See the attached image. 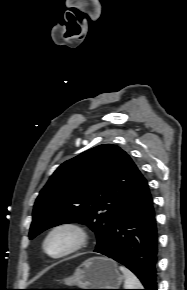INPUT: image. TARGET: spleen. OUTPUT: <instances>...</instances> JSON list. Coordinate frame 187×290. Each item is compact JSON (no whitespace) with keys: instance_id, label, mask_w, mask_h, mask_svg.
Listing matches in <instances>:
<instances>
[{"instance_id":"1","label":"spleen","mask_w":187,"mask_h":290,"mask_svg":"<svg viewBox=\"0 0 187 290\" xmlns=\"http://www.w3.org/2000/svg\"><path fill=\"white\" fill-rule=\"evenodd\" d=\"M119 269L125 277L124 289H142L139 279L129 269L124 266Z\"/></svg>"}]
</instances>
